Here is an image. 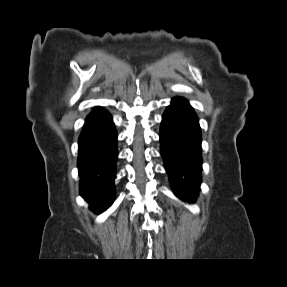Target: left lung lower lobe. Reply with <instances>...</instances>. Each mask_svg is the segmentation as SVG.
I'll list each match as a JSON object with an SVG mask.
<instances>
[{
    "instance_id": "left-lung-lower-lobe-1",
    "label": "left lung lower lobe",
    "mask_w": 287,
    "mask_h": 287,
    "mask_svg": "<svg viewBox=\"0 0 287 287\" xmlns=\"http://www.w3.org/2000/svg\"><path fill=\"white\" fill-rule=\"evenodd\" d=\"M159 136L175 195L193 202L201 181V130L198 117L185 98L172 99L163 114Z\"/></svg>"
}]
</instances>
